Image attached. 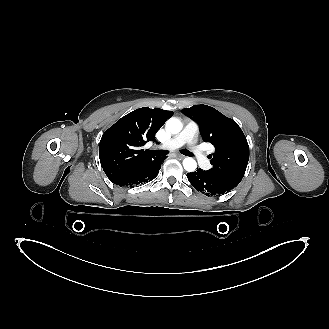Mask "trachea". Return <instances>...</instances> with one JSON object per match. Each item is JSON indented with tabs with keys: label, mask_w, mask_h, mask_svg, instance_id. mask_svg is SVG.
Listing matches in <instances>:
<instances>
[{
	"label": "trachea",
	"mask_w": 329,
	"mask_h": 329,
	"mask_svg": "<svg viewBox=\"0 0 329 329\" xmlns=\"http://www.w3.org/2000/svg\"><path fill=\"white\" fill-rule=\"evenodd\" d=\"M149 154L151 155H155V156H165L168 154L167 151H164V150H155V151H148ZM181 153L184 154V155H187V156H192V153L188 150H181Z\"/></svg>",
	"instance_id": "1"
}]
</instances>
